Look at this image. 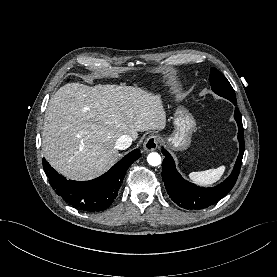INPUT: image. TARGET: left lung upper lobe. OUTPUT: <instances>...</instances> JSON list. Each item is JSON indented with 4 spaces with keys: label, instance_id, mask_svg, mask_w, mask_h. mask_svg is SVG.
Returning a JSON list of instances; mask_svg holds the SVG:
<instances>
[{
    "label": "left lung upper lobe",
    "instance_id": "obj_1",
    "mask_svg": "<svg viewBox=\"0 0 277 277\" xmlns=\"http://www.w3.org/2000/svg\"><path fill=\"white\" fill-rule=\"evenodd\" d=\"M209 81L212 86V90L232 103H236L235 92L229 83V81L215 68H211Z\"/></svg>",
    "mask_w": 277,
    "mask_h": 277
}]
</instances>
